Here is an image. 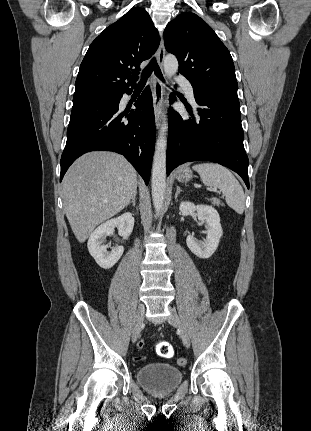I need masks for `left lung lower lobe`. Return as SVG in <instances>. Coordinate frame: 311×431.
<instances>
[{"mask_svg": "<svg viewBox=\"0 0 311 431\" xmlns=\"http://www.w3.org/2000/svg\"><path fill=\"white\" fill-rule=\"evenodd\" d=\"M200 106V120L184 119L169 110L167 175L178 165L208 160L237 172L249 188L248 157L243 145V129L237 93H194ZM171 101L176 100L172 94ZM188 112L191 114L192 110Z\"/></svg>", "mask_w": 311, "mask_h": 431, "instance_id": "0a47b994", "label": "left lung lower lobe"}]
</instances>
